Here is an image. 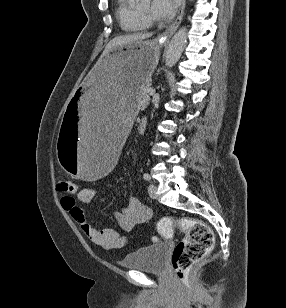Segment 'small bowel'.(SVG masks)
<instances>
[{
    "instance_id": "obj_1",
    "label": "small bowel",
    "mask_w": 286,
    "mask_h": 308,
    "mask_svg": "<svg viewBox=\"0 0 286 308\" xmlns=\"http://www.w3.org/2000/svg\"><path fill=\"white\" fill-rule=\"evenodd\" d=\"M96 192L92 188L78 190L75 198L64 197L61 200L63 208L70 212L74 221L88 239L104 250L121 248L127 240L116 229L99 230L92 226L77 203L89 204ZM118 227L123 231H131L136 225L146 223L151 217V211L140 200L131 197L120 211L114 213Z\"/></svg>"
}]
</instances>
